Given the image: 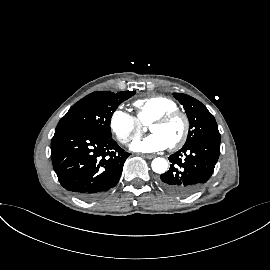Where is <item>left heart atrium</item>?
I'll return each instance as SVG.
<instances>
[{
  "instance_id": "1",
  "label": "left heart atrium",
  "mask_w": 270,
  "mask_h": 270,
  "mask_svg": "<svg viewBox=\"0 0 270 270\" xmlns=\"http://www.w3.org/2000/svg\"><path fill=\"white\" fill-rule=\"evenodd\" d=\"M168 147L166 141L158 134H150L149 136L136 139L131 144V149L136 152L154 153L165 150Z\"/></svg>"
}]
</instances>
